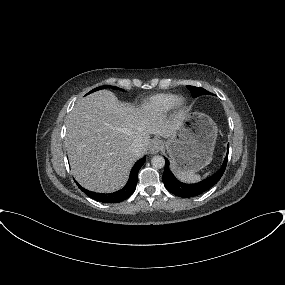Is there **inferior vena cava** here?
<instances>
[{
    "instance_id": "obj_1",
    "label": "inferior vena cava",
    "mask_w": 285,
    "mask_h": 285,
    "mask_svg": "<svg viewBox=\"0 0 285 285\" xmlns=\"http://www.w3.org/2000/svg\"><path fill=\"white\" fill-rule=\"evenodd\" d=\"M130 150L136 155V156H140L143 153L144 150V146L142 144L141 141L139 140H135L131 147Z\"/></svg>"
}]
</instances>
